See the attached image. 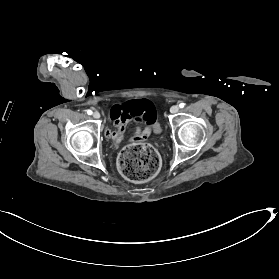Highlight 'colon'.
Returning a JSON list of instances; mask_svg holds the SVG:
<instances>
[{
	"mask_svg": "<svg viewBox=\"0 0 279 279\" xmlns=\"http://www.w3.org/2000/svg\"><path fill=\"white\" fill-rule=\"evenodd\" d=\"M159 154L147 144H136L122 150L118 158L121 174L133 182L154 177L160 169Z\"/></svg>",
	"mask_w": 279,
	"mask_h": 279,
	"instance_id": "obj_1",
	"label": "colon"
}]
</instances>
